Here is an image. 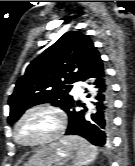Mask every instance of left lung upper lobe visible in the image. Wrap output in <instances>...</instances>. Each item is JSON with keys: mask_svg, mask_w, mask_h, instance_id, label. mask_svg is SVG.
Listing matches in <instances>:
<instances>
[{"mask_svg": "<svg viewBox=\"0 0 135 166\" xmlns=\"http://www.w3.org/2000/svg\"><path fill=\"white\" fill-rule=\"evenodd\" d=\"M98 54L89 36L70 31L34 59L16 83L9 98L8 123L16 122L26 109L51 103L67 111L74 99L68 94L80 81L93 57Z\"/></svg>", "mask_w": 135, "mask_h": 166, "instance_id": "5c2ea615", "label": "left lung upper lobe"}]
</instances>
